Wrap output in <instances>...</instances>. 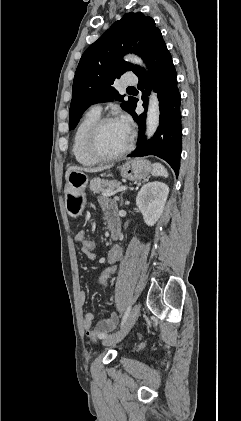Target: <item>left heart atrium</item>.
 Listing matches in <instances>:
<instances>
[{
  "label": "left heart atrium",
  "mask_w": 241,
  "mask_h": 421,
  "mask_svg": "<svg viewBox=\"0 0 241 421\" xmlns=\"http://www.w3.org/2000/svg\"><path fill=\"white\" fill-rule=\"evenodd\" d=\"M118 122L130 133L132 123H131V120L128 116L122 115L118 119Z\"/></svg>",
  "instance_id": "obj_1"
}]
</instances>
